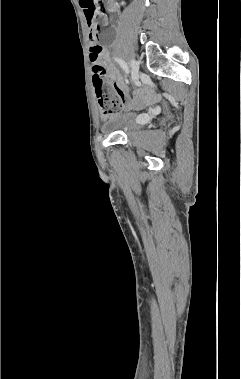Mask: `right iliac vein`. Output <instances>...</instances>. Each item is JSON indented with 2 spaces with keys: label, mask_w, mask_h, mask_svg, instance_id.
Returning a JSON list of instances; mask_svg holds the SVG:
<instances>
[{
  "label": "right iliac vein",
  "mask_w": 241,
  "mask_h": 379,
  "mask_svg": "<svg viewBox=\"0 0 241 379\" xmlns=\"http://www.w3.org/2000/svg\"><path fill=\"white\" fill-rule=\"evenodd\" d=\"M130 65L132 70V79L136 81L139 78V64L137 61L131 60Z\"/></svg>",
  "instance_id": "right-iliac-vein-1"
}]
</instances>
